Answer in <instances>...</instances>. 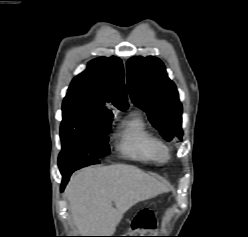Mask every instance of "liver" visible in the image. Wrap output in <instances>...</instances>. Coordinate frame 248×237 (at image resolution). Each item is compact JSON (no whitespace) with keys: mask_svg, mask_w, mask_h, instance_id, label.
Instances as JSON below:
<instances>
[{"mask_svg":"<svg viewBox=\"0 0 248 237\" xmlns=\"http://www.w3.org/2000/svg\"><path fill=\"white\" fill-rule=\"evenodd\" d=\"M165 190L160 181L139 168L115 164L78 171L71 177L65 196L79 234L111 236L128 209Z\"/></svg>","mask_w":248,"mask_h":237,"instance_id":"obj_1","label":"liver"}]
</instances>
